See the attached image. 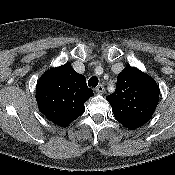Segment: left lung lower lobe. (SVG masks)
Listing matches in <instances>:
<instances>
[{"mask_svg": "<svg viewBox=\"0 0 175 175\" xmlns=\"http://www.w3.org/2000/svg\"><path fill=\"white\" fill-rule=\"evenodd\" d=\"M125 127L128 129H136L135 127H132V126H125Z\"/></svg>", "mask_w": 175, "mask_h": 175, "instance_id": "obj_1", "label": "left lung lower lobe"}]
</instances>
